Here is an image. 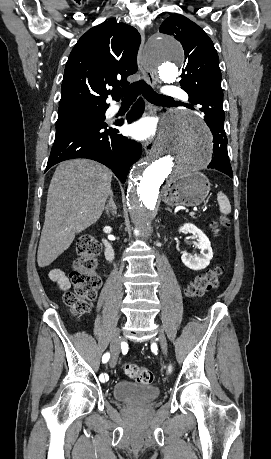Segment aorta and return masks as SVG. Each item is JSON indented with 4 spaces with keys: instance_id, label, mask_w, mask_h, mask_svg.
Masks as SVG:
<instances>
[{
    "instance_id": "1",
    "label": "aorta",
    "mask_w": 271,
    "mask_h": 459,
    "mask_svg": "<svg viewBox=\"0 0 271 459\" xmlns=\"http://www.w3.org/2000/svg\"><path fill=\"white\" fill-rule=\"evenodd\" d=\"M147 60L166 83L178 75L184 58L178 41L166 35L153 38L146 49ZM211 137L203 121L187 111H171L163 119L155 151L136 164L129 176L127 205L131 221L146 237L153 232L160 186L165 180L191 175L211 161Z\"/></svg>"
}]
</instances>
